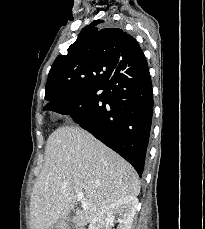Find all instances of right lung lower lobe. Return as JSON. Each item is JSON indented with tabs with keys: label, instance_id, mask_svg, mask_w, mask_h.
Instances as JSON below:
<instances>
[{
	"label": "right lung lower lobe",
	"instance_id": "right-lung-lower-lobe-1",
	"mask_svg": "<svg viewBox=\"0 0 205 229\" xmlns=\"http://www.w3.org/2000/svg\"><path fill=\"white\" fill-rule=\"evenodd\" d=\"M44 109L70 116L142 176L153 113L144 54L135 63L120 62L105 83L48 103Z\"/></svg>",
	"mask_w": 205,
	"mask_h": 229
}]
</instances>
